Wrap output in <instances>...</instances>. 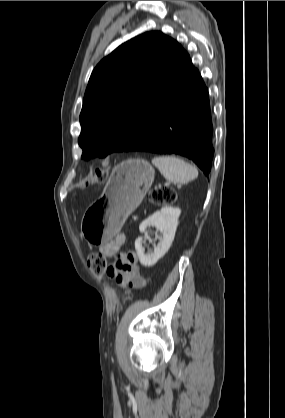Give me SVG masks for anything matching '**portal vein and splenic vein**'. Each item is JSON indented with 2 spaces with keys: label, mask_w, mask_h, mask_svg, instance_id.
Here are the masks:
<instances>
[{
  "label": "portal vein and splenic vein",
  "mask_w": 285,
  "mask_h": 418,
  "mask_svg": "<svg viewBox=\"0 0 285 418\" xmlns=\"http://www.w3.org/2000/svg\"><path fill=\"white\" fill-rule=\"evenodd\" d=\"M165 185L168 186L169 185V182H166Z\"/></svg>",
  "instance_id": "18ae733b"
}]
</instances>
